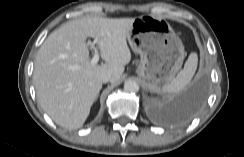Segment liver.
<instances>
[{
    "mask_svg": "<svg viewBox=\"0 0 244 157\" xmlns=\"http://www.w3.org/2000/svg\"><path fill=\"white\" fill-rule=\"evenodd\" d=\"M133 21L84 17L63 24L43 42L34 62L33 83L40 106L56 124L82 127L102 89L100 75L110 73L113 83L120 80L131 61L126 38ZM87 37L98 39L104 64H91Z\"/></svg>",
    "mask_w": 244,
    "mask_h": 157,
    "instance_id": "6515ba94",
    "label": "liver"
}]
</instances>
